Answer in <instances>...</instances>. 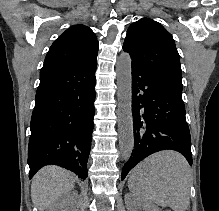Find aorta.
Instances as JSON below:
<instances>
[{"label":"aorta","instance_id":"1","mask_svg":"<svg viewBox=\"0 0 219 211\" xmlns=\"http://www.w3.org/2000/svg\"><path fill=\"white\" fill-rule=\"evenodd\" d=\"M118 98V136L120 154L128 161L134 148L132 117V62L128 53H122L116 64Z\"/></svg>","mask_w":219,"mask_h":211}]
</instances>
